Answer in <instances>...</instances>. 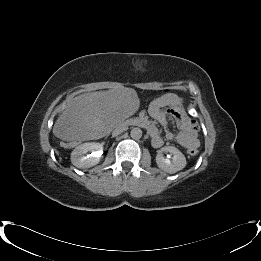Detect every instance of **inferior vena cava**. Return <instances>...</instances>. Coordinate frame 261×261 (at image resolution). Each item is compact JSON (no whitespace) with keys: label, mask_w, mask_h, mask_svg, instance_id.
<instances>
[{"label":"inferior vena cava","mask_w":261,"mask_h":261,"mask_svg":"<svg viewBox=\"0 0 261 261\" xmlns=\"http://www.w3.org/2000/svg\"><path fill=\"white\" fill-rule=\"evenodd\" d=\"M126 129H127L126 126L120 125V126H118V127L113 131V134H114V135L121 134V133L124 132Z\"/></svg>","instance_id":"inferior-vena-cava-1"}]
</instances>
